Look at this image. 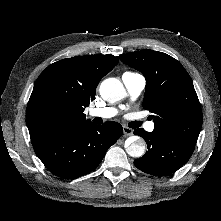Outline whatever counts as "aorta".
I'll return each instance as SVG.
<instances>
[{
	"instance_id": "aorta-1",
	"label": "aorta",
	"mask_w": 221,
	"mask_h": 221,
	"mask_svg": "<svg viewBox=\"0 0 221 221\" xmlns=\"http://www.w3.org/2000/svg\"><path fill=\"white\" fill-rule=\"evenodd\" d=\"M101 97L111 103L122 99L125 95V89L122 83L116 78L105 79L99 88ZM126 152L131 157L140 158L145 153V142L141 138H131L130 144L126 146Z\"/></svg>"
}]
</instances>
